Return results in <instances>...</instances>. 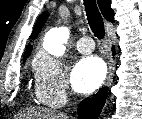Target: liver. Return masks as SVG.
Returning a JSON list of instances; mask_svg holds the SVG:
<instances>
[{
  "instance_id": "1",
  "label": "liver",
  "mask_w": 142,
  "mask_h": 119,
  "mask_svg": "<svg viewBox=\"0 0 142 119\" xmlns=\"http://www.w3.org/2000/svg\"><path fill=\"white\" fill-rule=\"evenodd\" d=\"M23 119H69L65 114L56 113L49 110L28 109L26 113L21 114Z\"/></svg>"
}]
</instances>
